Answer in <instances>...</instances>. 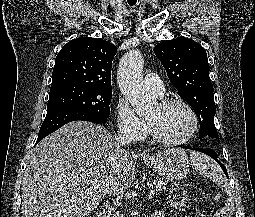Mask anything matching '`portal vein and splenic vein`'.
<instances>
[{
  "mask_svg": "<svg viewBox=\"0 0 255 217\" xmlns=\"http://www.w3.org/2000/svg\"><path fill=\"white\" fill-rule=\"evenodd\" d=\"M153 196H154V190L151 189V190L149 191L148 198H149V199H152Z\"/></svg>",
  "mask_w": 255,
  "mask_h": 217,
  "instance_id": "18ae733b",
  "label": "portal vein and splenic vein"
}]
</instances>
